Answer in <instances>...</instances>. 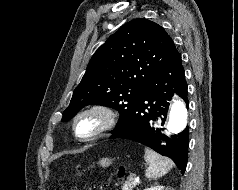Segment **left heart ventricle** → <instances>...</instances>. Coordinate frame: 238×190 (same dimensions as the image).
<instances>
[{
	"label": "left heart ventricle",
	"mask_w": 238,
	"mask_h": 190,
	"mask_svg": "<svg viewBox=\"0 0 238 190\" xmlns=\"http://www.w3.org/2000/svg\"><path fill=\"white\" fill-rule=\"evenodd\" d=\"M99 123V119L95 116L86 117L80 121L79 130L83 134H88L95 130Z\"/></svg>",
	"instance_id": "left-heart-ventricle-1"
}]
</instances>
